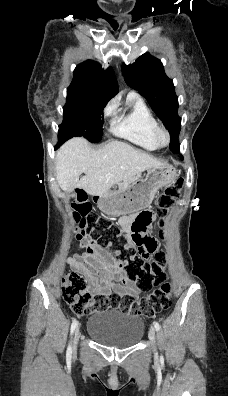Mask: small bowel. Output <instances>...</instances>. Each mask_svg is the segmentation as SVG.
<instances>
[{"label":"small bowel","mask_w":228,"mask_h":396,"mask_svg":"<svg viewBox=\"0 0 228 396\" xmlns=\"http://www.w3.org/2000/svg\"><path fill=\"white\" fill-rule=\"evenodd\" d=\"M132 220L133 218L128 217L120 222L128 247H135L130 235ZM81 247L85 248V252L69 257L67 263L74 271L87 278L93 294H139L141 290L127 278L122 267L95 240L85 239L81 242Z\"/></svg>","instance_id":"obj_1"}]
</instances>
